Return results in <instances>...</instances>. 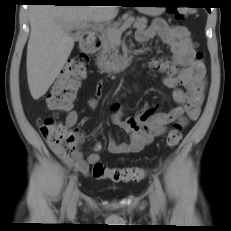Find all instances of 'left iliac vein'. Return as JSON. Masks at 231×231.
Instances as JSON below:
<instances>
[{
	"mask_svg": "<svg viewBox=\"0 0 231 231\" xmlns=\"http://www.w3.org/2000/svg\"><path fill=\"white\" fill-rule=\"evenodd\" d=\"M150 201L153 207H158L159 206V201L157 198V194L154 190H152L151 194H150Z\"/></svg>",
	"mask_w": 231,
	"mask_h": 231,
	"instance_id": "4c4485c4",
	"label": "left iliac vein"
}]
</instances>
